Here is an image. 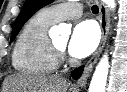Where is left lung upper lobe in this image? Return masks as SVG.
Masks as SVG:
<instances>
[{
	"label": "left lung upper lobe",
	"mask_w": 127,
	"mask_h": 92,
	"mask_svg": "<svg viewBox=\"0 0 127 92\" xmlns=\"http://www.w3.org/2000/svg\"><path fill=\"white\" fill-rule=\"evenodd\" d=\"M53 0H26L20 14L18 15L11 35V42L19 33L25 22L40 8L51 3Z\"/></svg>",
	"instance_id": "left-lung-upper-lobe-1"
}]
</instances>
